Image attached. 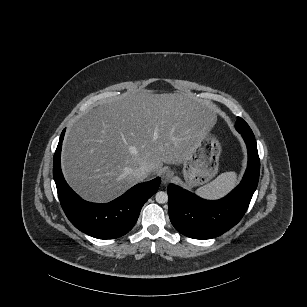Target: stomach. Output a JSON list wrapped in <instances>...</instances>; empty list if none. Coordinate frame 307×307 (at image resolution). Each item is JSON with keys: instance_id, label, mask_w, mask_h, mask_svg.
Masks as SVG:
<instances>
[{"instance_id": "obj_1", "label": "stomach", "mask_w": 307, "mask_h": 307, "mask_svg": "<svg viewBox=\"0 0 307 307\" xmlns=\"http://www.w3.org/2000/svg\"><path fill=\"white\" fill-rule=\"evenodd\" d=\"M222 153L223 146L216 135L202 134L182 163V175L187 187L195 188L211 181L219 172Z\"/></svg>"}]
</instances>
